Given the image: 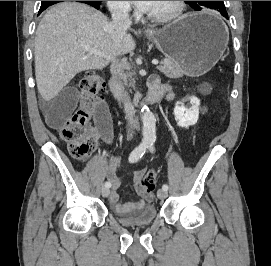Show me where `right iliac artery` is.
Segmentation results:
<instances>
[{
	"label": "right iliac artery",
	"instance_id": "1",
	"mask_svg": "<svg viewBox=\"0 0 271 266\" xmlns=\"http://www.w3.org/2000/svg\"><path fill=\"white\" fill-rule=\"evenodd\" d=\"M149 147L148 142H142L138 147H136L129 156V162L134 163L138 161L146 152L147 148ZM105 186L110 188L111 183L109 181L105 182Z\"/></svg>",
	"mask_w": 271,
	"mask_h": 266
}]
</instances>
